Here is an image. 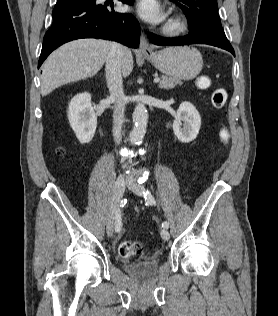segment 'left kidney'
<instances>
[{"label": "left kidney", "mask_w": 278, "mask_h": 316, "mask_svg": "<svg viewBox=\"0 0 278 316\" xmlns=\"http://www.w3.org/2000/svg\"><path fill=\"white\" fill-rule=\"evenodd\" d=\"M200 126L201 117L197 109L189 102L181 103L173 122V131L178 140L183 143L193 141Z\"/></svg>", "instance_id": "5707ae66"}]
</instances>
